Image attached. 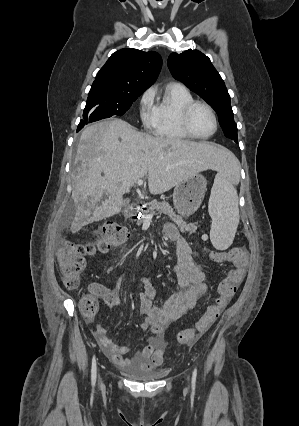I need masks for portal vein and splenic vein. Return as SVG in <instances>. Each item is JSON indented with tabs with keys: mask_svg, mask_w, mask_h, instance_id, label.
Returning <instances> with one entry per match:
<instances>
[{
	"mask_svg": "<svg viewBox=\"0 0 299 426\" xmlns=\"http://www.w3.org/2000/svg\"><path fill=\"white\" fill-rule=\"evenodd\" d=\"M136 184L138 185V186H141V185H143V180H138L137 182H136Z\"/></svg>",
	"mask_w": 299,
	"mask_h": 426,
	"instance_id": "18ae733b",
	"label": "portal vein and splenic vein"
}]
</instances>
